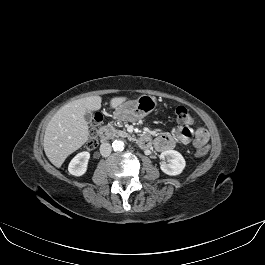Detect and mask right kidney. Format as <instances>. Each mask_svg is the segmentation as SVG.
Instances as JSON below:
<instances>
[{"label":"right kidney","instance_id":"ca27d5eb","mask_svg":"<svg viewBox=\"0 0 265 265\" xmlns=\"http://www.w3.org/2000/svg\"><path fill=\"white\" fill-rule=\"evenodd\" d=\"M90 153L87 151L78 153L69 163L68 171L74 176H82L87 171Z\"/></svg>","mask_w":265,"mask_h":265}]
</instances>
